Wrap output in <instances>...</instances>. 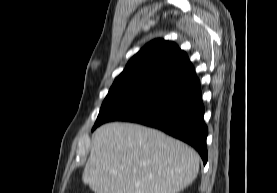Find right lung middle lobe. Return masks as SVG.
I'll return each mask as SVG.
<instances>
[{"label": "right lung middle lobe", "instance_id": "right-lung-middle-lobe-1", "mask_svg": "<svg viewBox=\"0 0 277 193\" xmlns=\"http://www.w3.org/2000/svg\"><path fill=\"white\" fill-rule=\"evenodd\" d=\"M149 94L146 91L110 89L101 106L99 115L92 130L110 120L120 111L128 108L138 100Z\"/></svg>", "mask_w": 277, "mask_h": 193}]
</instances>
